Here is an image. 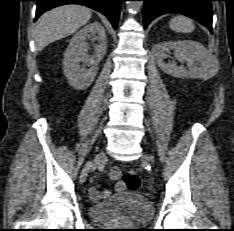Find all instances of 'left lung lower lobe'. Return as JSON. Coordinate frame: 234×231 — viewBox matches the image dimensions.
Here are the masks:
<instances>
[{"label":"left lung lower lobe","mask_w":234,"mask_h":231,"mask_svg":"<svg viewBox=\"0 0 234 231\" xmlns=\"http://www.w3.org/2000/svg\"><path fill=\"white\" fill-rule=\"evenodd\" d=\"M144 1V28L151 20L166 13H179L191 17L212 33V6L214 0H142Z\"/></svg>","instance_id":"0a47b994"}]
</instances>
